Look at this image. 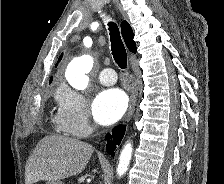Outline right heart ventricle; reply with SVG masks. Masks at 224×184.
Listing matches in <instances>:
<instances>
[{"instance_id": "obj_1", "label": "right heart ventricle", "mask_w": 224, "mask_h": 184, "mask_svg": "<svg viewBox=\"0 0 224 184\" xmlns=\"http://www.w3.org/2000/svg\"><path fill=\"white\" fill-rule=\"evenodd\" d=\"M54 122L56 123L57 127L64 131V132H67L65 127L62 125L61 121H60V115H59V112L56 114L55 118H54ZM68 133V132H67Z\"/></svg>"}]
</instances>
